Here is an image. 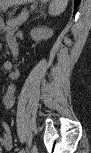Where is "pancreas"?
Instances as JSON below:
<instances>
[{"instance_id":"obj_1","label":"pancreas","mask_w":91,"mask_h":153,"mask_svg":"<svg viewBox=\"0 0 91 153\" xmlns=\"http://www.w3.org/2000/svg\"><path fill=\"white\" fill-rule=\"evenodd\" d=\"M26 11L22 12L21 15H19L18 17L14 18V19H9L7 20V25L9 27H11L12 29H17V26L22 24L24 22V20L26 19L27 16H24L23 14Z\"/></svg>"}]
</instances>
